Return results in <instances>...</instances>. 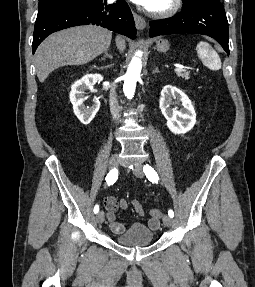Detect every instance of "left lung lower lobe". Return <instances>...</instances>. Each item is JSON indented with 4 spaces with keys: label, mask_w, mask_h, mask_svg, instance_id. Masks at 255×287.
Listing matches in <instances>:
<instances>
[{
    "label": "left lung lower lobe",
    "mask_w": 255,
    "mask_h": 287,
    "mask_svg": "<svg viewBox=\"0 0 255 287\" xmlns=\"http://www.w3.org/2000/svg\"><path fill=\"white\" fill-rule=\"evenodd\" d=\"M174 33L210 36L229 55L228 21L220 0H188L177 16L150 22V37Z\"/></svg>",
    "instance_id": "left-lung-lower-lobe-1"
}]
</instances>
